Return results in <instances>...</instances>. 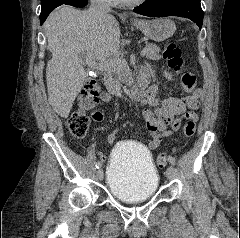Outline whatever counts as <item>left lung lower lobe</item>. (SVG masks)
Instances as JSON below:
<instances>
[{
  "mask_svg": "<svg viewBox=\"0 0 240 238\" xmlns=\"http://www.w3.org/2000/svg\"><path fill=\"white\" fill-rule=\"evenodd\" d=\"M133 11L149 17L179 16L189 18L200 28L203 24L200 0H146Z\"/></svg>",
  "mask_w": 240,
  "mask_h": 238,
  "instance_id": "1",
  "label": "left lung lower lobe"
}]
</instances>
